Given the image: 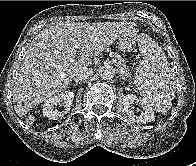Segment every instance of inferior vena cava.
Instances as JSON below:
<instances>
[{"instance_id": "inferior-vena-cava-1", "label": "inferior vena cava", "mask_w": 196, "mask_h": 166, "mask_svg": "<svg viewBox=\"0 0 196 166\" xmlns=\"http://www.w3.org/2000/svg\"><path fill=\"white\" fill-rule=\"evenodd\" d=\"M93 74V71L92 69H89V68H83L81 70H79L78 72H76V74L74 75V78L73 80L76 82V83H80L82 81H85L88 79V77L90 75Z\"/></svg>"}]
</instances>
